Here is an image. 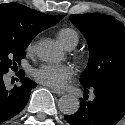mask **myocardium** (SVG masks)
<instances>
[{"label": "myocardium", "mask_w": 125, "mask_h": 125, "mask_svg": "<svg viewBox=\"0 0 125 125\" xmlns=\"http://www.w3.org/2000/svg\"><path fill=\"white\" fill-rule=\"evenodd\" d=\"M78 59H80L81 57L80 56H77Z\"/></svg>", "instance_id": "myocardium-1"}]
</instances>
